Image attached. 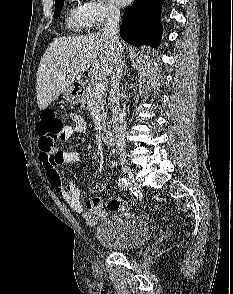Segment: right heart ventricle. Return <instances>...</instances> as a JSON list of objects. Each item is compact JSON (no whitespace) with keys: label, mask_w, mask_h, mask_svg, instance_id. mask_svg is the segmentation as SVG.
I'll return each mask as SVG.
<instances>
[{"label":"right heart ventricle","mask_w":233,"mask_h":294,"mask_svg":"<svg viewBox=\"0 0 233 294\" xmlns=\"http://www.w3.org/2000/svg\"><path fill=\"white\" fill-rule=\"evenodd\" d=\"M66 26L73 32H81L89 27L82 6L72 4L66 14Z\"/></svg>","instance_id":"e07e8e85"}]
</instances>
